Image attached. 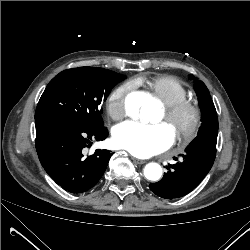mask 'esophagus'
<instances>
[{
	"label": "esophagus",
	"instance_id": "34e87169",
	"mask_svg": "<svg viewBox=\"0 0 250 250\" xmlns=\"http://www.w3.org/2000/svg\"><path fill=\"white\" fill-rule=\"evenodd\" d=\"M132 160H133V162L135 163V164H144L145 163V161L144 160H141V159H137V158H132Z\"/></svg>",
	"mask_w": 250,
	"mask_h": 250
}]
</instances>
